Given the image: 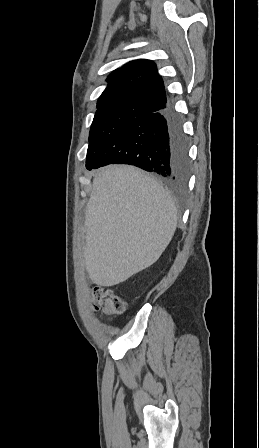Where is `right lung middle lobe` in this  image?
<instances>
[{
	"label": "right lung middle lobe",
	"mask_w": 259,
	"mask_h": 448,
	"mask_svg": "<svg viewBox=\"0 0 259 448\" xmlns=\"http://www.w3.org/2000/svg\"><path fill=\"white\" fill-rule=\"evenodd\" d=\"M139 116L141 114L135 112L95 114L89 133V146L86 157V168L88 170L113 139Z\"/></svg>",
	"instance_id": "1"
}]
</instances>
